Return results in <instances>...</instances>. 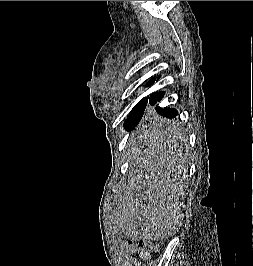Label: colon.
Instances as JSON below:
<instances>
[{
  "mask_svg": "<svg viewBox=\"0 0 253 266\" xmlns=\"http://www.w3.org/2000/svg\"><path fill=\"white\" fill-rule=\"evenodd\" d=\"M126 248L129 250L137 251L141 255H148L153 251L154 248H149L148 242H137L134 244L133 242L126 243Z\"/></svg>",
  "mask_w": 253,
  "mask_h": 266,
  "instance_id": "colon-1",
  "label": "colon"
}]
</instances>
